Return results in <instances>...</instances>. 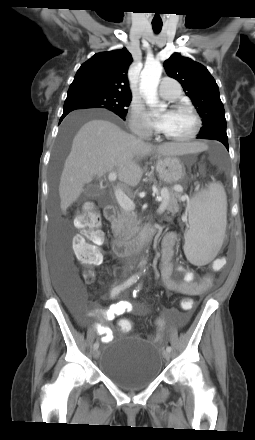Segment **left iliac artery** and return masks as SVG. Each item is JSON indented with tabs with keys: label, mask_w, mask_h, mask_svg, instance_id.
Instances as JSON below:
<instances>
[{
	"label": "left iliac artery",
	"mask_w": 255,
	"mask_h": 440,
	"mask_svg": "<svg viewBox=\"0 0 255 440\" xmlns=\"http://www.w3.org/2000/svg\"><path fill=\"white\" fill-rule=\"evenodd\" d=\"M139 290H140V286H138V287L133 291V295L136 296V294L139 292ZM166 350L170 352V351L172 350V348H171L170 346H167Z\"/></svg>",
	"instance_id": "44dca946"
}]
</instances>
